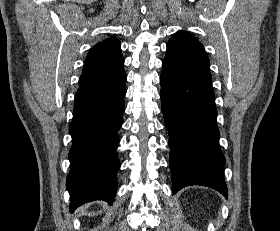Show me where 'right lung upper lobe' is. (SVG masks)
<instances>
[{"instance_id":"1","label":"right lung upper lobe","mask_w":280,"mask_h":231,"mask_svg":"<svg viewBox=\"0 0 280 231\" xmlns=\"http://www.w3.org/2000/svg\"><path fill=\"white\" fill-rule=\"evenodd\" d=\"M120 42L109 38L88 53L74 102H83L125 85L124 59Z\"/></svg>"}]
</instances>
